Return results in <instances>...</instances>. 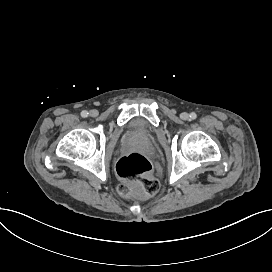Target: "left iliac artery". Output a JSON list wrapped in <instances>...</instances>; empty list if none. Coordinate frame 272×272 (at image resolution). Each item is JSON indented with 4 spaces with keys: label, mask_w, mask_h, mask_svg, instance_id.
<instances>
[{
    "label": "left iliac artery",
    "mask_w": 272,
    "mask_h": 272,
    "mask_svg": "<svg viewBox=\"0 0 272 272\" xmlns=\"http://www.w3.org/2000/svg\"><path fill=\"white\" fill-rule=\"evenodd\" d=\"M189 117H190L191 120H194V119H196L197 115H196V113L192 112V113L189 115Z\"/></svg>",
    "instance_id": "1"
}]
</instances>
